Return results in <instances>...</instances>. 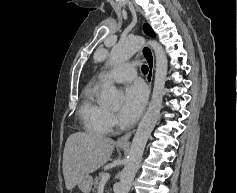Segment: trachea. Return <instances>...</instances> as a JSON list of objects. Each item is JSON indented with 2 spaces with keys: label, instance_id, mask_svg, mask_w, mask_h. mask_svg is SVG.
Listing matches in <instances>:
<instances>
[{
  "label": "trachea",
  "instance_id": "trachea-1",
  "mask_svg": "<svg viewBox=\"0 0 237 193\" xmlns=\"http://www.w3.org/2000/svg\"><path fill=\"white\" fill-rule=\"evenodd\" d=\"M142 72H143L144 74H147V73H148V66L143 65V66H142Z\"/></svg>",
  "mask_w": 237,
  "mask_h": 193
}]
</instances>
